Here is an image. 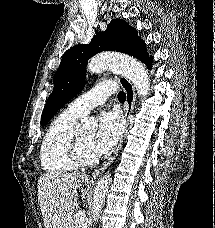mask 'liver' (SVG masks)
Segmentation results:
<instances>
[{
    "mask_svg": "<svg viewBox=\"0 0 215 228\" xmlns=\"http://www.w3.org/2000/svg\"><path fill=\"white\" fill-rule=\"evenodd\" d=\"M85 176L80 174H43L37 184L38 202L45 228H73L72 218L77 206V192ZM86 190L82 192V200Z\"/></svg>",
    "mask_w": 215,
    "mask_h": 228,
    "instance_id": "1",
    "label": "liver"
}]
</instances>
